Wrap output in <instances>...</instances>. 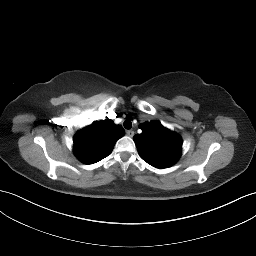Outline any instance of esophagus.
<instances>
[{"mask_svg":"<svg viewBox=\"0 0 256 256\" xmlns=\"http://www.w3.org/2000/svg\"><path fill=\"white\" fill-rule=\"evenodd\" d=\"M126 134H127L129 137H133V136H134V131H133V130H127V131H126Z\"/></svg>","mask_w":256,"mask_h":256,"instance_id":"34e87169","label":"esophagus"}]
</instances>
